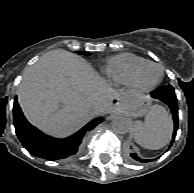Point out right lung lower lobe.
I'll use <instances>...</instances> for the list:
<instances>
[{
	"label": "right lung lower lobe",
	"mask_w": 194,
	"mask_h": 193,
	"mask_svg": "<svg viewBox=\"0 0 194 193\" xmlns=\"http://www.w3.org/2000/svg\"><path fill=\"white\" fill-rule=\"evenodd\" d=\"M14 126L22 145L30 154L48 160L64 159L76 154L87 131L92 130L102 119H95L77 133L64 140H55L32 126L24 117L17 100L13 107Z\"/></svg>",
	"instance_id": "98d812e1"
}]
</instances>
